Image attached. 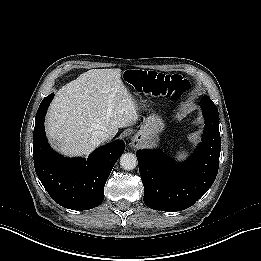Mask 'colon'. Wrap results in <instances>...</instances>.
I'll list each match as a JSON object with an SVG mask.
<instances>
[{"label": "colon", "instance_id": "1", "mask_svg": "<svg viewBox=\"0 0 261 261\" xmlns=\"http://www.w3.org/2000/svg\"><path fill=\"white\" fill-rule=\"evenodd\" d=\"M134 83L145 93L152 96H164L173 101L182 99L188 86L177 75L166 76L155 71L134 70Z\"/></svg>", "mask_w": 261, "mask_h": 261}]
</instances>
